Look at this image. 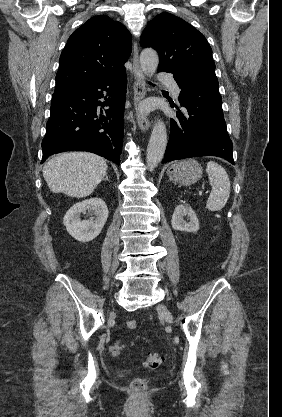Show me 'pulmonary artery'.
I'll return each instance as SVG.
<instances>
[{
  "instance_id": "pulmonary-artery-1",
  "label": "pulmonary artery",
  "mask_w": 282,
  "mask_h": 417,
  "mask_svg": "<svg viewBox=\"0 0 282 417\" xmlns=\"http://www.w3.org/2000/svg\"><path fill=\"white\" fill-rule=\"evenodd\" d=\"M156 81L157 83H170V88L172 90L174 97L178 98L180 94V89L174 81H171L170 74H157Z\"/></svg>"
}]
</instances>
